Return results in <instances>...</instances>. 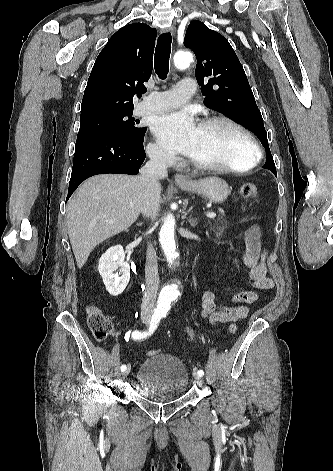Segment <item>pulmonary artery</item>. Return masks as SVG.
<instances>
[{
  "label": "pulmonary artery",
  "mask_w": 333,
  "mask_h": 471,
  "mask_svg": "<svg viewBox=\"0 0 333 471\" xmlns=\"http://www.w3.org/2000/svg\"><path fill=\"white\" fill-rule=\"evenodd\" d=\"M195 91V82L190 78L180 80L168 91L153 92L139 105V114H156L177 108L188 101Z\"/></svg>",
  "instance_id": "e3ab8cb5"
}]
</instances>
